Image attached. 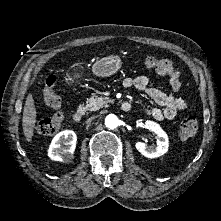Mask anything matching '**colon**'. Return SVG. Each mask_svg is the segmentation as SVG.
Segmentation results:
<instances>
[{"instance_id":"obj_1","label":"colon","mask_w":221,"mask_h":221,"mask_svg":"<svg viewBox=\"0 0 221 221\" xmlns=\"http://www.w3.org/2000/svg\"><path fill=\"white\" fill-rule=\"evenodd\" d=\"M148 68L152 69L159 75L167 76L170 79L178 74L176 64L168 58L150 57L146 60ZM56 79L54 76L49 77L42 89V96L45 104L54 109L51 115L43 116L37 123V130L42 135H53L61 127L64 121V113L60 110L61 99L55 91ZM198 130V121L194 116H188L182 121L179 127V137L182 140L191 138Z\"/></svg>"}]
</instances>
